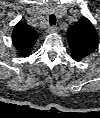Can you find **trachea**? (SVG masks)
<instances>
[{"label": "trachea", "mask_w": 100, "mask_h": 118, "mask_svg": "<svg viewBox=\"0 0 100 118\" xmlns=\"http://www.w3.org/2000/svg\"><path fill=\"white\" fill-rule=\"evenodd\" d=\"M49 24H50V26L56 24V17H55V15H53V14L50 15V17H49Z\"/></svg>", "instance_id": "obj_1"}]
</instances>
